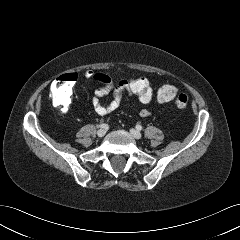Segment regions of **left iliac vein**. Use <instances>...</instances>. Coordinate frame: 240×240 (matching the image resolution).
I'll return each mask as SVG.
<instances>
[{
	"mask_svg": "<svg viewBox=\"0 0 240 240\" xmlns=\"http://www.w3.org/2000/svg\"><path fill=\"white\" fill-rule=\"evenodd\" d=\"M130 133L136 139H141L142 138V134L139 131L135 130V129H131Z\"/></svg>",
	"mask_w": 240,
	"mask_h": 240,
	"instance_id": "4c4485c4",
	"label": "left iliac vein"
}]
</instances>
